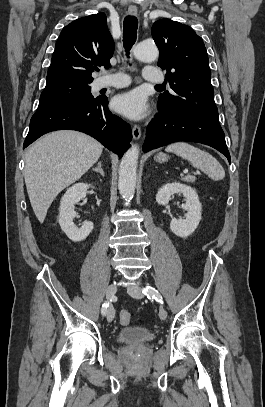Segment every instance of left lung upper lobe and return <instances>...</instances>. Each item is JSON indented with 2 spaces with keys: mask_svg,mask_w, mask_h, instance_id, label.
I'll return each mask as SVG.
<instances>
[{
  "mask_svg": "<svg viewBox=\"0 0 265 407\" xmlns=\"http://www.w3.org/2000/svg\"><path fill=\"white\" fill-rule=\"evenodd\" d=\"M160 51L158 66L167 71L173 93L159 95V112H183L219 124L208 55L201 37L191 27L170 19L152 26Z\"/></svg>",
  "mask_w": 265,
  "mask_h": 407,
  "instance_id": "5c2ea615",
  "label": "left lung upper lobe"
}]
</instances>
